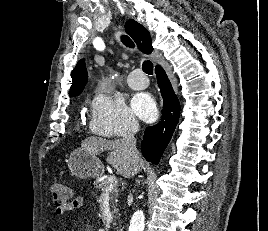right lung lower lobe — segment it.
<instances>
[{
	"label": "right lung lower lobe",
	"instance_id": "98d812e1",
	"mask_svg": "<svg viewBox=\"0 0 268 231\" xmlns=\"http://www.w3.org/2000/svg\"><path fill=\"white\" fill-rule=\"evenodd\" d=\"M155 72L163 97L162 119L158 124L146 128L141 148L147 161L158 164L178 123L180 104L163 68L156 66Z\"/></svg>",
	"mask_w": 268,
	"mask_h": 231
}]
</instances>
